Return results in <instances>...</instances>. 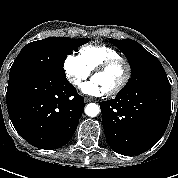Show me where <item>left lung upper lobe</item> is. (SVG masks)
I'll return each mask as SVG.
<instances>
[{
  "label": "left lung upper lobe",
  "mask_w": 178,
  "mask_h": 178,
  "mask_svg": "<svg viewBox=\"0 0 178 178\" xmlns=\"http://www.w3.org/2000/svg\"><path fill=\"white\" fill-rule=\"evenodd\" d=\"M126 56L131 67V78L124 89L144 84L170 85L167 74L160 61L139 43L131 39L116 40L109 38Z\"/></svg>",
  "instance_id": "5c2ea615"
}]
</instances>
